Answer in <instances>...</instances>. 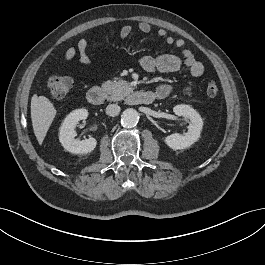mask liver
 <instances>
[{
	"label": "liver",
	"instance_id": "obj_1",
	"mask_svg": "<svg viewBox=\"0 0 265 265\" xmlns=\"http://www.w3.org/2000/svg\"><path fill=\"white\" fill-rule=\"evenodd\" d=\"M56 109L52 102L45 96L34 94L31 99V119L34 134L38 143L41 145L51 126L55 116Z\"/></svg>",
	"mask_w": 265,
	"mask_h": 265
}]
</instances>
